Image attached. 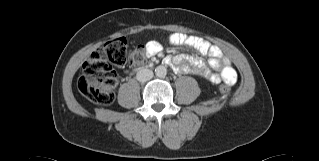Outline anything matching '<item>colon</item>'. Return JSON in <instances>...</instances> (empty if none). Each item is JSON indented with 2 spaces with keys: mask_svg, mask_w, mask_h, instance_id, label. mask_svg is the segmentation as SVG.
Listing matches in <instances>:
<instances>
[{
  "mask_svg": "<svg viewBox=\"0 0 319 161\" xmlns=\"http://www.w3.org/2000/svg\"><path fill=\"white\" fill-rule=\"evenodd\" d=\"M159 50V45H156L152 52L156 54ZM145 59L146 55L142 49L132 53L127 52V42L124 37L112 38L93 52L84 63L77 81L78 90L98 104H110L115 98L114 88L117 82L113 66L122 67L128 63H142ZM219 90L222 94H229L230 87L222 84Z\"/></svg>",
  "mask_w": 319,
  "mask_h": 161,
  "instance_id": "obj_1",
  "label": "colon"
}]
</instances>
